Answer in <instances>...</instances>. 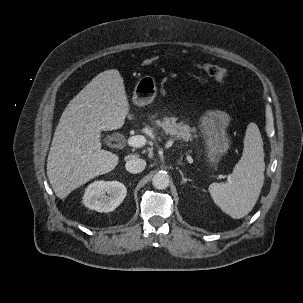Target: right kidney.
Masks as SVG:
<instances>
[{
    "label": "right kidney",
    "mask_w": 303,
    "mask_h": 303,
    "mask_svg": "<svg viewBox=\"0 0 303 303\" xmlns=\"http://www.w3.org/2000/svg\"><path fill=\"white\" fill-rule=\"evenodd\" d=\"M127 189L118 181H95L85 190L83 203L98 212H111L124 200Z\"/></svg>",
    "instance_id": "ca27d5eb"
}]
</instances>
